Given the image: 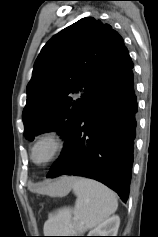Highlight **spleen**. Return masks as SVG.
<instances>
[{"instance_id":"3e777b00","label":"spleen","mask_w":158,"mask_h":237,"mask_svg":"<svg viewBox=\"0 0 158 237\" xmlns=\"http://www.w3.org/2000/svg\"><path fill=\"white\" fill-rule=\"evenodd\" d=\"M73 192L77 196L74 208L64 207L49 214L44 224L47 236H73L100 225L118 207L116 194L103 184L76 178Z\"/></svg>"}]
</instances>
